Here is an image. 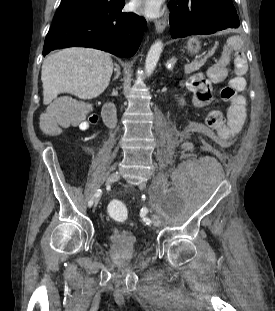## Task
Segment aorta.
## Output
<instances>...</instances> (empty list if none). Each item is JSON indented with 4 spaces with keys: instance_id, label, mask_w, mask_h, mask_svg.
<instances>
[{
    "instance_id": "obj_1",
    "label": "aorta",
    "mask_w": 275,
    "mask_h": 311,
    "mask_svg": "<svg viewBox=\"0 0 275 311\" xmlns=\"http://www.w3.org/2000/svg\"><path fill=\"white\" fill-rule=\"evenodd\" d=\"M162 48L163 43L160 40L155 41V43H153V45L151 46L145 61V72L148 76L151 75L154 71L159 61Z\"/></svg>"
}]
</instances>
